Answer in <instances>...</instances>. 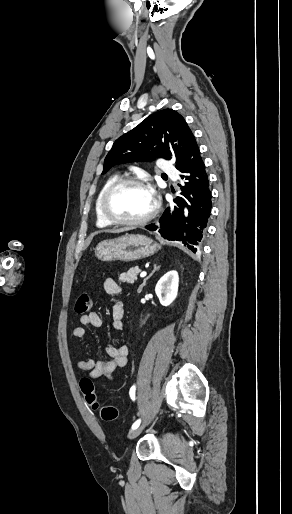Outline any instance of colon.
Instances as JSON below:
<instances>
[{
  "label": "colon",
  "mask_w": 292,
  "mask_h": 514,
  "mask_svg": "<svg viewBox=\"0 0 292 514\" xmlns=\"http://www.w3.org/2000/svg\"><path fill=\"white\" fill-rule=\"evenodd\" d=\"M92 308V300L90 295L81 294L78 296L75 302V312L78 315H85L90 312ZM81 391L86 394V402L92 405L96 410H98L100 417L104 421L113 420L118 415V410L116 407L111 405H102L97 400L94 393V384L91 379H83L80 382Z\"/></svg>",
  "instance_id": "colon-1"
}]
</instances>
